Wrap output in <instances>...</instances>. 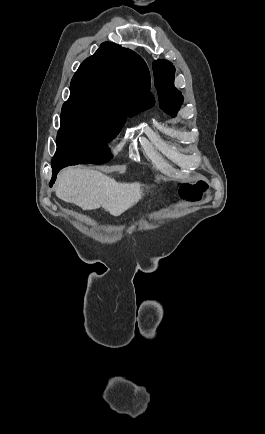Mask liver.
<instances>
[{
	"instance_id": "6515ba94",
	"label": "liver",
	"mask_w": 265,
	"mask_h": 434,
	"mask_svg": "<svg viewBox=\"0 0 265 434\" xmlns=\"http://www.w3.org/2000/svg\"><path fill=\"white\" fill-rule=\"evenodd\" d=\"M143 184H119L97 170L66 168L57 176V198L82 210L104 208L111 216H121L143 196Z\"/></svg>"
}]
</instances>
